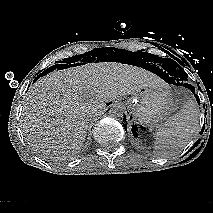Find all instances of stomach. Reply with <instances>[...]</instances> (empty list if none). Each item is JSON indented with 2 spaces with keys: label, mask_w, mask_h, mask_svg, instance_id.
Instances as JSON below:
<instances>
[{
  "label": "stomach",
  "mask_w": 213,
  "mask_h": 213,
  "mask_svg": "<svg viewBox=\"0 0 213 213\" xmlns=\"http://www.w3.org/2000/svg\"><path fill=\"white\" fill-rule=\"evenodd\" d=\"M134 120L148 128L155 127L176 107L173 95L163 85H151L126 97Z\"/></svg>",
  "instance_id": "obj_1"
}]
</instances>
